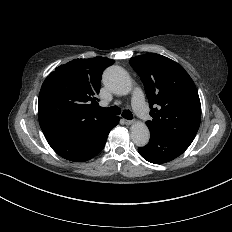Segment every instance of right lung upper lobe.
<instances>
[{
    "instance_id": "1",
    "label": "right lung upper lobe",
    "mask_w": 232,
    "mask_h": 232,
    "mask_svg": "<svg viewBox=\"0 0 232 232\" xmlns=\"http://www.w3.org/2000/svg\"><path fill=\"white\" fill-rule=\"evenodd\" d=\"M115 61L107 57L75 59L59 66L42 84L38 118L43 132L82 128L110 115L99 112L101 75Z\"/></svg>"
}]
</instances>
